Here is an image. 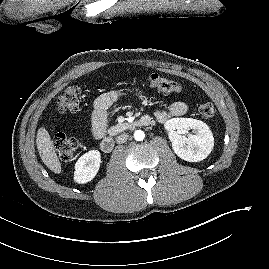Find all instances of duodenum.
<instances>
[{"label": "duodenum", "mask_w": 269, "mask_h": 269, "mask_svg": "<svg viewBox=\"0 0 269 269\" xmlns=\"http://www.w3.org/2000/svg\"><path fill=\"white\" fill-rule=\"evenodd\" d=\"M151 123V119L149 116H143L141 117L137 124L139 126H147ZM101 149L103 152L105 153H109L113 150L114 146H115V140L114 137L111 135H107L105 136L100 143Z\"/></svg>", "instance_id": "duodenum-1"}]
</instances>
